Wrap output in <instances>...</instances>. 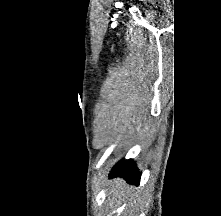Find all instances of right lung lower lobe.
Masks as SVG:
<instances>
[{
    "instance_id": "right-lung-lower-lobe-1",
    "label": "right lung lower lobe",
    "mask_w": 221,
    "mask_h": 216,
    "mask_svg": "<svg viewBox=\"0 0 221 216\" xmlns=\"http://www.w3.org/2000/svg\"><path fill=\"white\" fill-rule=\"evenodd\" d=\"M111 177L119 176L127 179L130 183L138 184L140 182L141 174L136 169L133 160H121L118 162L110 172Z\"/></svg>"
}]
</instances>
